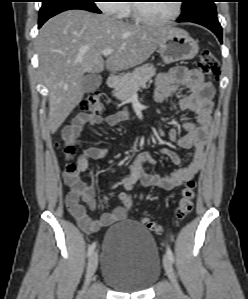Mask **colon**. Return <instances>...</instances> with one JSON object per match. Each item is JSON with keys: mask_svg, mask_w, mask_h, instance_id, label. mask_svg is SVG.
<instances>
[{"mask_svg": "<svg viewBox=\"0 0 248 299\" xmlns=\"http://www.w3.org/2000/svg\"><path fill=\"white\" fill-rule=\"evenodd\" d=\"M198 65L200 70L206 74L209 79L217 80L220 77V65L218 59L211 50L204 49L201 51ZM103 108L104 105L101 100V95L97 91L89 93L81 103V109L83 111L95 115L102 113ZM74 153L75 146L72 143H67L62 146V154L65 158L63 172L65 176V182L69 187L66 197V205L71 214L75 216H83L85 210L81 203V199L83 196L84 185L77 176V166L71 161ZM195 194L196 183L193 180L187 181L181 192V196L175 210L176 225L182 222L191 213L194 205ZM131 205L132 202L129 198L123 202V207L126 212ZM142 223L148 230L157 233L162 232V227L146 216L143 217Z\"/></svg>", "mask_w": 248, "mask_h": 299, "instance_id": "1", "label": "colon"}]
</instances>
